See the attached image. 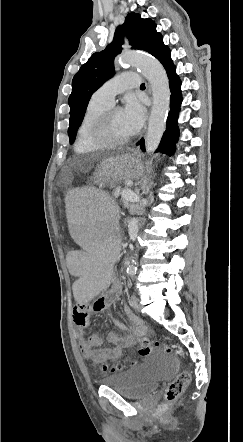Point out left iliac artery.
Segmentation results:
<instances>
[{
  "mask_svg": "<svg viewBox=\"0 0 243 442\" xmlns=\"http://www.w3.org/2000/svg\"><path fill=\"white\" fill-rule=\"evenodd\" d=\"M130 274H131V275H134V272H131Z\"/></svg>",
  "mask_w": 243,
  "mask_h": 442,
  "instance_id": "obj_1",
  "label": "left iliac artery"
}]
</instances>
